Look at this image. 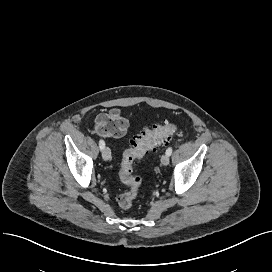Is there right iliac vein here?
Segmentation results:
<instances>
[{
    "mask_svg": "<svg viewBox=\"0 0 272 272\" xmlns=\"http://www.w3.org/2000/svg\"><path fill=\"white\" fill-rule=\"evenodd\" d=\"M102 157L105 161H109L111 158V150L109 147H105L102 151Z\"/></svg>",
    "mask_w": 272,
    "mask_h": 272,
    "instance_id": "63e3f726",
    "label": "right iliac vein"
}]
</instances>
